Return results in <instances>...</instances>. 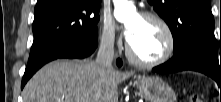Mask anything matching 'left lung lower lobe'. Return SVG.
<instances>
[{"instance_id":"left-lung-lower-lobe-1","label":"left lung lower lobe","mask_w":221,"mask_h":102,"mask_svg":"<svg viewBox=\"0 0 221 102\" xmlns=\"http://www.w3.org/2000/svg\"><path fill=\"white\" fill-rule=\"evenodd\" d=\"M183 70H193L212 77L221 88V60L209 52L197 48H185L177 53L166 63L153 68L157 73H172Z\"/></svg>"}]
</instances>
